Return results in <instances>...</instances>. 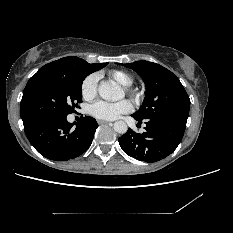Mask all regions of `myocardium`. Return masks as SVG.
<instances>
[{
    "label": "myocardium",
    "mask_w": 233,
    "mask_h": 233,
    "mask_svg": "<svg viewBox=\"0 0 233 233\" xmlns=\"http://www.w3.org/2000/svg\"><path fill=\"white\" fill-rule=\"evenodd\" d=\"M127 94L136 102L141 98V92L138 88L132 86H125Z\"/></svg>",
    "instance_id": "myocardium-1"
}]
</instances>
